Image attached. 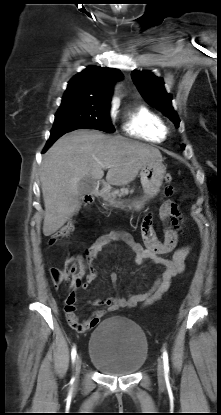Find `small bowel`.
Returning a JSON list of instances; mask_svg holds the SVG:
<instances>
[{
	"instance_id": "small-bowel-1",
	"label": "small bowel",
	"mask_w": 221,
	"mask_h": 415,
	"mask_svg": "<svg viewBox=\"0 0 221 415\" xmlns=\"http://www.w3.org/2000/svg\"><path fill=\"white\" fill-rule=\"evenodd\" d=\"M165 197H174V188H165ZM169 209L170 224H179L180 213L177 205L172 201H167L163 204ZM162 219L164 217L160 215ZM176 227V226H175ZM142 237L145 247L133 241L131 236L125 232L109 233L100 236L87 250L86 258L90 263L106 246L115 241L123 242L129 251L133 254L136 264H142L146 261L152 265L162 268V272L156 277L152 287L146 293H129L125 297H109L106 299H98L92 302L94 306H103L102 309L95 310L92 315L83 321H80L75 312L76 291L80 288L85 289L86 283L73 287L72 291L64 301V311L69 325L78 332H85L86 330L95 327L100 319L107 313L117 311L120 308H132L138 304L149 306L161 299L171 287L172 279L182 273L185 269L187 258L190 254L191 248L183 246L177 248L178 234L173 228H166L164 231V238L160 241L154 232L153 219L151 214H147L141 223ZM174 251L173 256L169 259L163 258V254ZM96 273L91 271L87 275V281L91 282L96 278ZM111 280L114 284L117 283V273H111Z\"/></svg>"
}]
</instances>
